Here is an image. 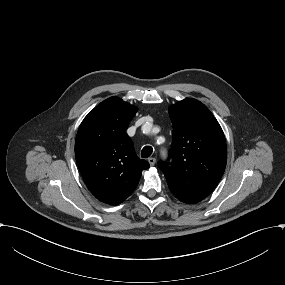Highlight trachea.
<instances>
[{
    "instance_id": "1",
    "label": "trachea",
    "mask_w": 285,
    "mask_h": 285,
    "mask_svg": "<svg viewBox=\"0 0 285 285\" xmlns=\"http://www.w3.org/2000/svg\"><path fill=\"white\" fill-rule=\"evenodd\" d=\"M153 152V148L151 146H145L141 151L142 158H148Z\"/></svg>"
}]
</instances>
